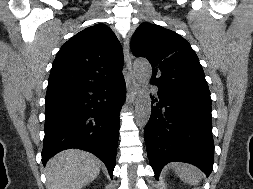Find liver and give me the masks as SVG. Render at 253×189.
<instances>
[{
	"instance_id": "6515ba94",
	"label": "liver",
	"mask_w": 253,
	"mask_h": 189,
	"mask_svg": "<svg viewBox=\"0 0 253 189\" xmlns=\"http://www.w3.org/2000/svg\"><path fill=\"white\" fill-rule=\"evenodd\" d=\"M100 167V161L89 152L64 150L47 163V189H81L98 176Z\"/></svg>"
}]
</instances>
